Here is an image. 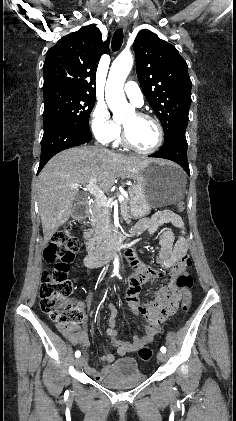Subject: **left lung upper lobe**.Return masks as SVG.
Segmentation results:
<instances>
[{
	"label": "left lung upper lobe",
	"instance_id": "obj_1",
	"mask_svg": "<svg viewBox=\"0 0 236 421\" xmlns=\"http://www.w3.org/2000/svg\"><path fill=\"white\" fill-rule=\"evenodd\" d=\"M133 48L140 85L165 136L187 127L192 82L185 60L173 45L149 30L138 33Z\"/></svg>",
	"mask_w": 236,
	"mask_h": 421
}]
</instances>
